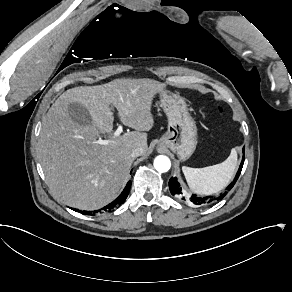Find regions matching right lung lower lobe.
Listing matches in <instances>:
<instances>
[{"label":"right lung lower lobe","mask_w":292,"mask_h":292,"mask_svg":"<svg viewBox=\"0 0 292 292\" xmlns=\"http://www.w3.org/2000/svg\"><path fill=\"white\" fill-rule=\"evenodd\" d=\"M130 188H131V181H129L127 183V185L125 186L123 192L120 194V196L115 199L113 202H111L110 204H108L107 206H105L103 208L104 211H111L113 210L115 207H118L120 206L122 203L125 202L128 194H129V191H130ZM74 211H78L77 209H73ZM100 211V210H99ZM95 212L97 211H82L83 214H86V215H93Z\"/></svg>","instance_id":"98d812e1"}]
</instances>
